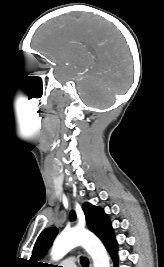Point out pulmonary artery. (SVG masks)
Returning <instances> with one entry per match:
<instances>
[{
    "mask_svg": "<svg viewBox=\"0 0 164 267\" xmlns=\"http://www.w3.org/2000/svg\"><path fill=\"white\" fill-rule=\"evenodd\" d=\"M63 267H77L73 259H67L62 263Z\"/></svg>",
    "mask_w": 164,
    "mask_h": 267,
    "instance_id": "obj_1",
    "label": "pulmonary artery"
}]
</instances>
